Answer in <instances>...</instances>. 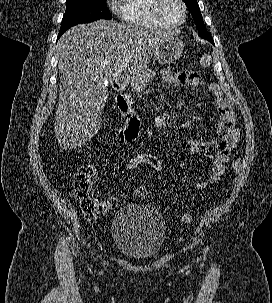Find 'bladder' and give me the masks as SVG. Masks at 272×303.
I'll list each match as a JSON object with an SVG mask.
<instances>
[{
  "label": "bladder",
  "instance_id": "31cf9c89",
  "mask_svg": "<svg viewBox=\"0 0 272 303\" xmlns=\"http://www.w3.org/2000/svg\"><path fill=\"white\" fill-rule=\"evenodd\" d=\"M112 238L118 252L133 260H148L162 249L166 224L161 213L146 204L122 206L114 215Z\"/></svg>",
  "mask_w": 272,
  "mask_h": 303
}]
</instances>
